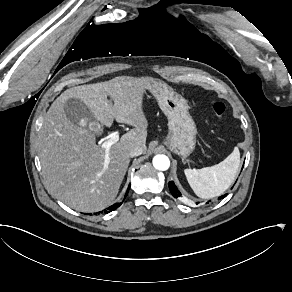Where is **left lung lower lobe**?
<instances>
[{
  "label": "left lung lower lobe",
  "mask_w": 292,
  "mask_h": 292,
  "mask_svg": "<svg viewBox=\"0 0 292 292\" xmlns=\"http://www.w3.org/2000/svg\"><path fill=\"white\" fill-rule=\"evenodd\" d=\"M169 189H170L171 194H172L175 198H178V197L181 196L180 191L178 190V188L176 187V185L174 184L173 181H170V182H169ZM226 196H227V194L220 196V197H219V200L225 198ZM208 203H209V202H207V204H208Z\"/></svg>",
  "instance_id": "1"
}]
</instances>
